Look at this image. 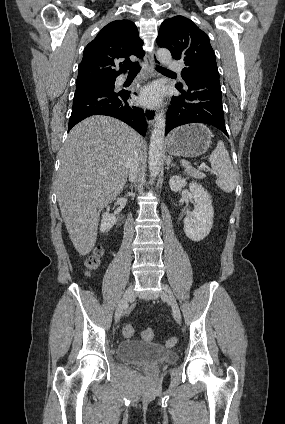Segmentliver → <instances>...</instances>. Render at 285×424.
I'll return each mask as SVG.
<instances>
[{"instance_id": "obj_1", "label": "liver", "mask_w": 285, "mask_h": 424, "mask_svg": "<svg viewBox=\"0 0 285 424\" xmlns=\"http://www.w3.org/2000/svg\"><path fill=\"white\" fill-rule=\"evenodd\" d=\"M136 145L143 140L131 127L96 115L73 127L60 150L57 198L69 237L82 256L96 243L101 210L125 186Z\"/></svg>"}]
</instances>
